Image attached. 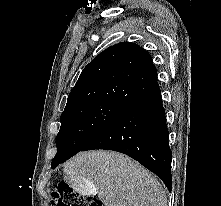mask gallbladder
<instances>
[{
	"instance_id": "gallbladder-1",
	"label": "gallbladder",
	"mask_w": 221,
	"mask_h": 206,
	"mask_svg": "<svg viewBox=\"0 0 221 206\" xmlns=\"http://www.w3.org/2000/svg\"><path fill=\"white\" fill-rule=\"evenodd\" d=\"M68 186H71L72 194H82L84 198H93L96 194L94 185H90L89 181H70L66 179Z\"/></svg>"
}]
</instances>
